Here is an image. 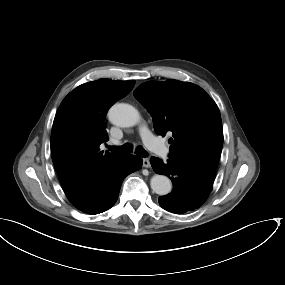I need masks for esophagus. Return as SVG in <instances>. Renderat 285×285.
<instances>
[{"mask_svg":"<svg viewBox=\"0 0 285 285\" xmlns=\"http://www.w3.org/2000/svg\"><path fill=\"white\" fill-rule=\"evenodd\" d=\"M143 167H145V168L150 167V161L148 158H143Z\"/></svg>","mask_w":285,"mask_h":285,"instance_id":"esophagus-1","label":"esophagus"}]
</instances>
